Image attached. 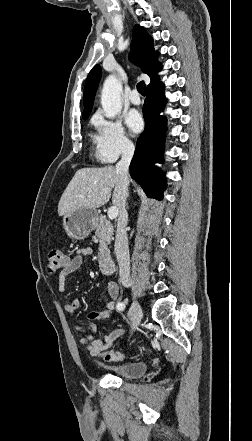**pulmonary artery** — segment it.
Returning a JSON list of instances; mask_svg holds the SVG:
<instances>
[{"mask_svg":"<svg viewBox=\"0 0 252 441\" xmlns=\"http://www.w3.org/2000/svg\"><path fill=\"white\" fill-rule=\"evenodd\" d=\"M129 101L134 105H139L141 103V99L137 91H132L129 95Z\"/></svg>","mask_w":252,"mask_h":441,"instance_id":"obj_1","label":"pulmonary artery"}]
</instances>
